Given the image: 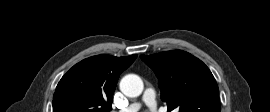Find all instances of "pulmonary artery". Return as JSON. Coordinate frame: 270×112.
Listing matches in <instances>:
<instances>
[{
  "instance_id": "1",
  "label": "pulmonary artery",
  "mask_w": 270,
  "mask_h": 112,
  "mask_svg": "<svg viewBox=\"0 0 270 112\" xmlns=\"http://www.w3.org/2000/svg\"><path fill=\"white\" fill-rule=\"evenodd\" d=\"M142 103L146 104L152 112H159L157 103L155 100V91L152 88H147L143 94L142 102H135L120 110L119 112H137Z\"/></svg>"
}]
</instances>
